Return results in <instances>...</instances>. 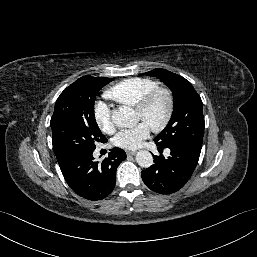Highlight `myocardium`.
I'll return each instance as SVG.
<instances>
[{
  "instance_id": "obj_1",
  "label": "myocardium",
  "mask_w": 257,
  "mask_h": 257,
  "mask_svg": "<svg viewBox=\"0 0 257 257\" xmlns=\"http://www.w3.org/2000/svg\"><path fill=\"white\" fill-rule=\"evenodd\" d=\"M158 97L164 98L166 102V112L162 121L159 124L151 126L152 130L157 132L164 130L169 125L172 119L175 108L174 96L172 91L166 87L157 86L156 88L148 92L135 107L137 112L143 114L149 109V107Z\"/></svg>"
}]
</instances>
